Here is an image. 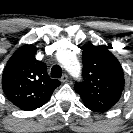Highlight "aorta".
Returning <instances> with one entry per match:
<instances>
[{
	"mask_svg": "<svg viewBox=\"0 0 133 133\" xmlns=\"http://www.w3.org/2000/svg\"><path fill=\"white\" fill-rule=\"evenodd\" d=\"M57 59L73 77L80 79L81 67L73 53L69 51H59L57 52Z\"/></svg>",
	"mask_w": 133,
	"mask_h": 133,
	"instance_id": "aorta-1",
	"label": "aorta"
}]
</instances>
